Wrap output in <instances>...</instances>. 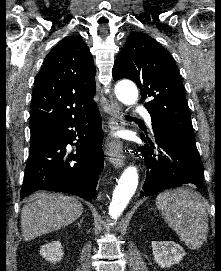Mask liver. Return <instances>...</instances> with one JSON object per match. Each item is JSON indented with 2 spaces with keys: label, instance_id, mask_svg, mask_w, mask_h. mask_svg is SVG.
<instances>
[{
  "label": "liver",
  "instance_id": "obj_1",
  "mask_svg": "<svg viewBox=\"0 0 221 271\" xmlns=\"http://www.w3.org/2000/svg\"><path fill=\"white\" fill-rule=\"evenodd\" d=\"M83 205L72 195L35 191L21 209V233L25 241L61 229L76 221Z\"/></svg>",
  "mask_w": 221,
  "mask_h": 271
}]
</instances>
